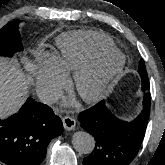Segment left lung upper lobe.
I'll use <instances>...</instances> for the list:
<instances>
[{"mask_svg": "<svg viewBox=\"0 0 165 165\" xmlns=\"http://www.w3.org/2000/svg\"><path fill=\"white\" fill-rule=\"evenodd\" d=\"M138 71H139V74H140L141 80H142V91L146 92V94L144 96L143 104L150 106L151 95L148 92L150 89V84H149V80H148V75H147L145 63L143 60H141L139 63V70Z\"/></svg>", "mask_w": 165, "mask_h": 165, "instance_id": "1", "label": "left lung upper lobe"}]
</instances>
